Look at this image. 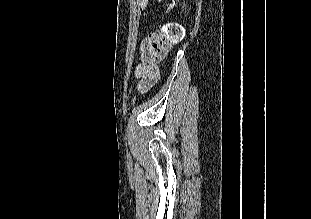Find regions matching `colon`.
I'll use <instances>...</instances> for the list:
<instances>
[{
    "label": "colon",
    "mask_w": 311,
    "mask_h": 219,
    "mask_svg": "<svg viewBox=\"0 0 311 219\" xmlns=\"http://www.w3.org/2000/svg\"><path fill=\"white\" fill-rule=\"evenodd\" d=\"M184 37V30L178 23L170 22L161 26L156 33H151L142 42L143 66L140 70L145 71L150 77L156 79L157 70L155 63L164 59L168 51Z\"/></svg>",
    "instance_id": "colon-1"
}]
</instances>
